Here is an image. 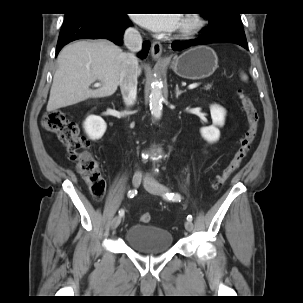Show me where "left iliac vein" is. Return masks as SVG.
I'll return each mask as SVG.
<instances>
[{
  "instance_id": "left-iliac-vein-1",
  "label": "left iliac vein",
  "mask_w": 303,
  "mask_h": 303,
  "mask_svg": "<svg viewBox=\"0 0 303 303\" xmlns=\"http://www.w3.org/2000/svg\"><path fill=\"white\" fill-rule=\"evenodd\" d=\"M144 187L151 193L158 194V195H164L166 192H168L167 187L164 185L160 184L156 180L146 177V179L143 182ZM193 223L192 221H186L185 222V229L188 232H191L193 230Z\"/></svg>"
}]
</instances>
